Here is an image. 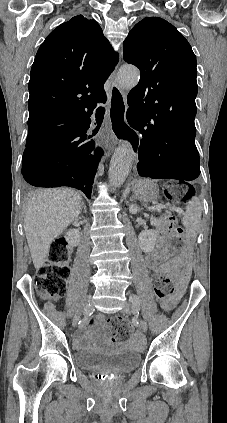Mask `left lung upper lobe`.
Returning <instances> with one entry per match:
<instances>
[{"mask_svg": "<svg viewBox=\"0 0 227 423\" xmlns=\"http://www.w3.org/2000/svg\"><path fill=\"white\" fill-rule=\"evenodd\" d=\"M123 58L141 72L127 96L130 107L196 114V57L173 25L159 17L144 18L125 39Z\"/></svg>", "mask_w": 227, "mask_h": 423, "instance_id": "1", "label": "left lung upper lobe"}]
</instances>
